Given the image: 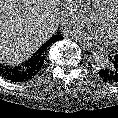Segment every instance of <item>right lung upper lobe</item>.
<instances>
[{"label":"right lung upper lobe","instance_id":"1","mask_svg":"<svg viewBox=\"0 0 118 118\" xmlns=\"http://www.w3.org/2000/svg\"><path fill=\"white\" fill-rule=\"evenodd\" d=\"M54 42V37L48 40L44 45L39 48V50L34 54V56H43L46 53L47 48Z\"/></svg>","mask_w":118,"mask_h":118}]
</instances>
